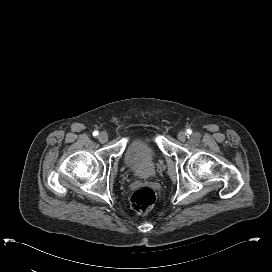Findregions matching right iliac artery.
Returning <instances> with one entry per match:
<instances>
[{"mask_svg":"<svg viewBox=\"0 0 272 272\" xmlns=\"http://www.w3.org/2000/svg\"><path fill=\"white\" fill-rule=\"evenodd\" d=\"M97 135H98V131H94L93 136H97Z\"/></svg>","mask_w":272,"mask_h":272,"instance_id":"obj_1","label":"right iliac artery"}]
</instances>
